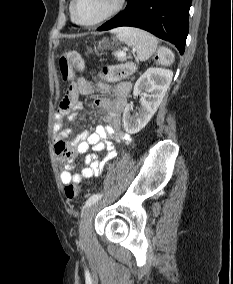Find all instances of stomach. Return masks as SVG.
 Instances as JSON below:
<instances>
[{
    "instance_id": "stomach-1",
    "label": "stomach",
    "mask_w": 233,
    "mask_h": 284,
    "mask_svg": "<svg viewBox=\"0 0 233 284\" xmlns=\"http://www.w3.org/2000/svg\"><path fill=\"white\" fill-rule=\"evenodd\" d=\"M106 42H107V40H105V39L102 41V43H106Z\"/></svg>"
}]
</instances>
